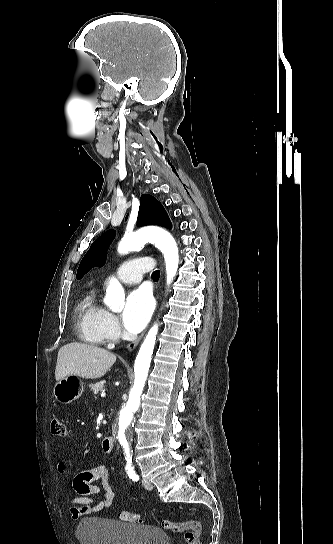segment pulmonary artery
<instances>
[{
    "label": "pulmonary artery",
    "mask_w": 333,
    "mask_h": 544,
    "mask_svg": "<svg viewBox=\"0 0 333 544\" xmlns=\"http://www.w3.org/2000/svg\"><path fill=\"white\" fill-rule=\"evenodd\" d=\"M152 268L151 260L147 257H137L121 264L116 276L126 284H135L142 280L143 274Z\"/></svg>",
    "instance_id": "obj_1"
}]
</instances>
